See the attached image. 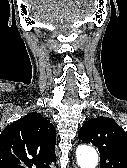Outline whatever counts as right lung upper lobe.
Wrapping results in <instances>:
<instances>
[{
  "label": "right lung upper lobe",
  "mask_w": 127,
  "mask_h": 168,
  "mask_svg": "<svg viewBox=\"0 0 127 168\" xmlns=\"http://www.w3.org/2000/svg\"><path fill=\"white\" fill-rule=\"evenodd\" d=\"M56 130L38 113H29L0 134V168H50L56 161Z\"/></svg>",
  "instance_id": "cb5924a9"
}]
</instances>
